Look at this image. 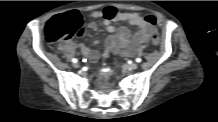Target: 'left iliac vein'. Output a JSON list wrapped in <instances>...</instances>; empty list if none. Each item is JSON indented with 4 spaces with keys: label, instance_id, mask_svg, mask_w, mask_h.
Returning <instances> with one entry per match:
<instances>
[{
    "label": "left iliac vein",
    "instance_id": "1",
    "mask_svg": "<svg viewBox=\"0 0 218 122\" xmlns=\"http://www.w3.org/2000/svg\"><path fill=\"white\" fill-rule=\"evenodd\" d=\"M125 67L128 69V70H135L138 68V65L136 63H131L129 65H125Z\"/></svg>",
    "mask_w": 218,
    "mask_h": 122
}]
</instances>
